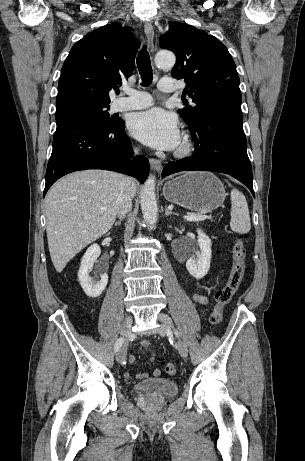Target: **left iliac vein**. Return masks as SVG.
I'll list each match as a JSON object with an SVG mask.
<instances>
[{
    "label": "left iliac vein",
    "mask_w": 305,
    "mask_h": 461,
    "mask_svg": "<svg viewBox=\"0 0 305 461\" xmlns=\"http://www.w3.org/2000/svg\"><path fill=\"white\" fill-rule=\"evenodd\" d=\"M157 318L160 323L158 332L162 337H165L166 335L170 334L172 331L171 330L173 326L172 320L168 315L163 314V313H159ZM176 346H177V349L180 355L182 357H186L188 354V349H187L186 344L181 339H178L176 342Z\"/></svg>",
    "instance_id": "4c4485c4"
}]
</instances>
